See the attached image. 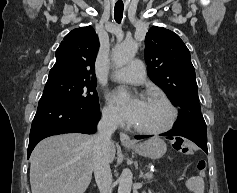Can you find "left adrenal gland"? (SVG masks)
Instances as JSON below:
<instances>
[{"mask_svg": "<svg viewBox=\"0 0 237 193\" xmlns=\"http://www.w3.org/2000/svg\"><path fill=\"white\" fill-rule=\"evenodd\" d=\"M141 176L144 178V179H152V173H146L145 175L143 174V172L141 171Z\"/></svg>", "mask_w": 237, "mask_h": 193, "instance_id": "obj_1", "label": "left adrenal gland"}]
</instances>
